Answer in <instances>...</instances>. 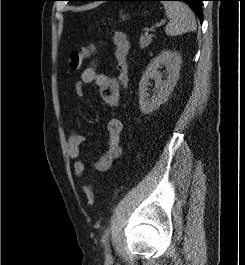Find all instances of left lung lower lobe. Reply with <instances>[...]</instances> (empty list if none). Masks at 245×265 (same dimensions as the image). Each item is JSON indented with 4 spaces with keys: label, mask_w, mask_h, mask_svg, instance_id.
<instances>
[{
    "label": "left lung lower lobe",
    "mask_w": 245,
    "mask_h": 265,
    "mask_svg": "<svg viewBox=\"0 0 245 265\" xmlns=\"http://www.w3.org/2000/svg\"><path fill=\"white\" fill-rule=\"evenodd\" d=\"M81 1H100V0H81ZM106 1H136V0H106ZM155 1H163V0H155ZM178 1H184L188 3L195 11V13L199 16V19L202 21L203 13H202L201 2L204 0H178Z\"/></svg>",
    "instance_id": "left-lung-lower-lobe-1"
}]
</instances>
